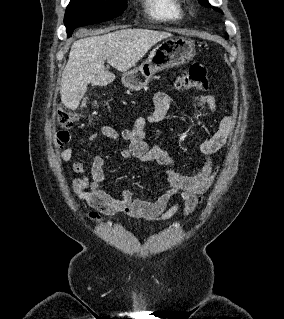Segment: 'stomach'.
Listing matches in <instances>:
<instances>
[{"instance_id": "1", "label": "stomach", "mask_w": 284, "mask_h": 319, "mask_svg": "<svg viewBox=\"0 0 284 319\" xmlns=\"http://www.w3.org/2000/svg\"><path fill=\"white\" fill-rule=\"evenodd\" d=\"M194 42L186 37L170 38L157 45L138 68L122 76L125 87L132 91L145 88L155 73L182 65L195 56Z\"/></svg>"}]
</instances>
